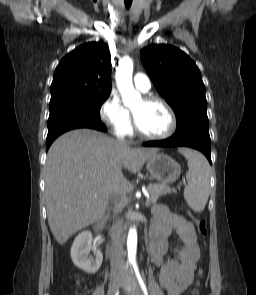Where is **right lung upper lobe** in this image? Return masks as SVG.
<instances>
[{"instance_id":"1","label":"right lung upper lobe","mask_w":256,"mask_h":295,"mask_svg":"<svg viewBox=\"0 0 256 295\" xmlns=\"http://www.w3.org/2000/svg\"><path fill=\"white\" fill-rule=\"evenodd\" d=\"M111 59L104 42L83 44L67 54L55 69L51 101L66 97L109 96Z\"/></svg>"}]
</instances>
